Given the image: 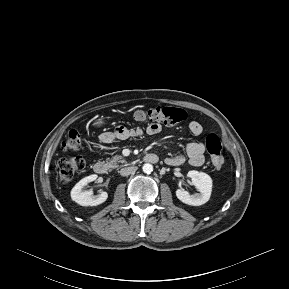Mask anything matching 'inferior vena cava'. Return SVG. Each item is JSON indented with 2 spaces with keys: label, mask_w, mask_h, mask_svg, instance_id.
<instances>
[{
  "label": "inferior vena cava",
  "mask_w": 289,
  "mask_h": 289,
  "mask_svg": "<svg viewBox=\"0 0 289 289\" xmlns=\"http://www.w3.org/2000/svg\"><path fill=\"white\" fill-rule=\"evenodd\" d=\"M137 170L136 166L125 167L120 170L121 176H128Z\"/></svg>",
  "instance_id": "inferior-vena-cava-1"
}]
</instances>
